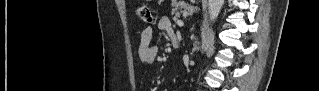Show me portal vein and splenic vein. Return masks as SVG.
I'll use <instances>...</instances> for the list:
<instances>
[{"label": "portal vein and splenic vein", "mask_w": 319, "mask_h": 91, "mask_svg": "<svg viewBox=\"0 0 319 91\" xmlns=\"http://www.w3.org/2000/svg\"><path fill=\"white\" fill-rule=\"evenodd\" d=\"M177 25L180 26V27H182L184 24H183V22H182L181 20H178V21H177Z\"/></svg>", "instance_id": "18ae733b"}]
</instances>
